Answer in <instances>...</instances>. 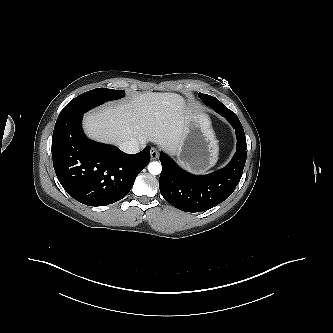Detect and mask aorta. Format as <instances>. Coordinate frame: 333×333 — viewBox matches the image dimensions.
<instances>
[{
    "instance_id": "762f6f07",
    "label": "aorta",
    "mask_w": 333,
    "mask_h": 333,
    "mask_svg": "<svg viewBox=\"0 0 333 333\" xmlns=\"http://www.w3.org/2000/svg\"><path fill=\"white\" fill-rule=\"evenodd\" d=\"M148 170H149L150 174H152V175H158L162 171V166H161V164L159 162L153 161V162L149 163Z\"/></svg>"
}]
</instances>
